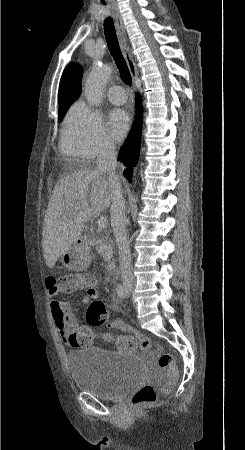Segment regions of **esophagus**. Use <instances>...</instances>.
I'll return each mask as SVG.
<instances>
[{"instance_id": "34e87169", "label": "esophagus", "mask_w": 245, "mask_h": 450, "mask_svg": "<svg viewBox=\"0 0 245 450\" xmlns=\"http://www.w3.org/2000/svg\"><path fill=\"white\" fill-rule=\"evenodd\" d=\"M113 18H114L117 36H118V40H119V44H120L122 53L127 62L131 76L134 80L138 76L137 67H136L134 59L131 55V50L127 44L125 26H124L122 17L119 13V10H118V7L116 4H113Z\"/></svg>"}]
</instances>
